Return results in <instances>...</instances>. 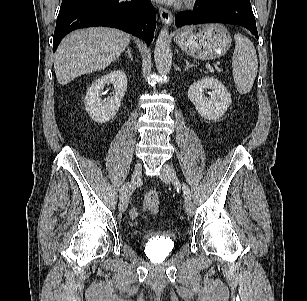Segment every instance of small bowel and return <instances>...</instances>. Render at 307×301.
Masks as SVG:
<instances>
[{
  "mask_svg": "<svg viewBox=\"0 0 307 301\" xmlns=\"http://www.w3.org/2000/svg\"><path fill=\"white\" fill-rule=\"evenodd\" d=\"M130 215H131L132 218L136 217L137 211H136L135 209H132V210L130 211Z\"/></svg>",
  "mask_w": 307,
  "mask_h": 301,
  "instance_id": "small-bowel-1",
  "label": "small bowel"
}]
</instances>
